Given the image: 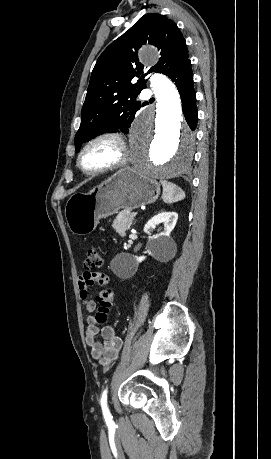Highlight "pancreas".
<instances>
[{"label":"pancreas","mask_w":271,"mask_h":459,"mask_svg":"<svg viewBox=\"0 0 271 459\" xmlns=\"http://www.w3.org/2000/svg\"><path fill=\"white\" fill-rule=\"evenodd\" d=\"M131 210H121L119 214H117L114 224H112L113 228L116 229L119 235H125V231L130 228L133 220L135 217H130Z\"/></svg>","instance_id":"obj_1"}]
</instances>
